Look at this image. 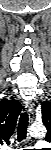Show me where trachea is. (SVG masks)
Instances as JSON below:
<instances>
[{"label": "trachea", "instance_id": "1", "mask_svg": "<svg viewBox=\"0 0 51 150\" xmlns=\"http://www.w3.org/2000/svg\"><path fill=\"white\" fill-rule=\"evenodd\" d=\"M28 114L23 112L20 116L18 123V141L26 139L27 127H28Z\"/></svg>", "mask_w": 51, "mask_h": 150}]
</instances>
